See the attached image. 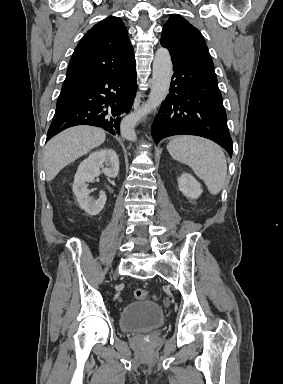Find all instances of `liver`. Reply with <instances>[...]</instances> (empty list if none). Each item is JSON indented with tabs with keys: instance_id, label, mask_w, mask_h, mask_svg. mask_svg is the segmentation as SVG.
<instances>
[{
	"instance_id": "liver-1",
	"label": "liver",
	"mask_w": 283,
	"mask_h": 384,
	"mask_svg": "<svg viewBox=\"0 0 283 384\" xmlns=\"http://www.w3.org/2000/svg\"><path fill=\"white\" fill-rule=\"evenodd\" d=\"M105 140L104 130L91 126L68 128L49 140L43 158L47 182H51L65 166L101 146Z\"/></svg>"
}]
</instances>
